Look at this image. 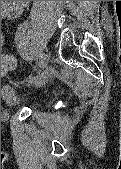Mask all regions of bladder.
<instances>
[{
    "label": "bladder",
    "mask_w": 121,
    "mask_h": 169,
    "mask_svg": "<svg viewBox=\"0 0 121 169\" xmlns=\"http://www.w3.org/2000/svg\"><path fill=\"white\" fill-rule=\"evenodd\" d=\"M1 95L4 102L11 107L18 106L23 101L18 92L11 86H4Z\"/></svg>",
    "instance_id": "31cf9c89"
}]
</instances>
